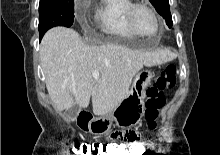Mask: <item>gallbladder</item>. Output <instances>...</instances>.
Masks as SVG:
<instances>
[{
    "instance_id": "1",
    "label": "gallbladder",
    "mask_w": 220,
    "mask_h": 155,
    "mask_svg": "<svg viewBox=\"0 0 220 155\" xmlns=\"http://www.w3.org/2000/svg\"><path fill=\"white\" fill-rule=\"evenodd\" d=\"M79 111H80V108H79V106H73L72 108H70L69 110H68V117L71 119V120H75L76 119V117H77V115H78V113H79Z\"/></svg>"
}]
</instances>
